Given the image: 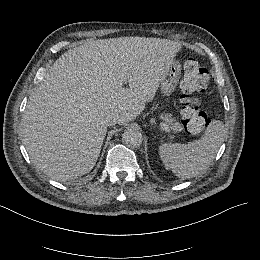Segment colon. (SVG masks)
<instances>
[{
	"instance_id": "colon-1",
	"label": "colon",
	"mask_w": 260,
	"mask_h": 260,
	"mask_svg": "<svg viewBox=\"0 0 260 260\" xmlns=\"http://www.w3.org/2000/svg\"><path fill=\"white\" fill-rule=\"evenodd\" d=\"M209 72L195 58L186 59L180 82L181 120L186 130L196 132L209 124V118L202 108L203 95L207 91Z\"/></svg>"
}]
</instances>
